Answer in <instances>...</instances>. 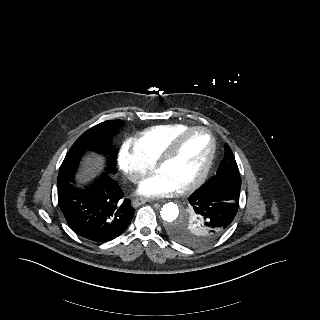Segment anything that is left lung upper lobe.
Returning a JSON list of instances; mask_svg holds the SVG:
<instances>
[{"instance_id":"left-lung-upper-lobe-1","label":"left lung upper lobe","mask_w":320,"mask_h":320,"mask_svg":"<svg viewBox=\"0 0 320 320\" xmlns=\"http://www.w3.org/2000/svg\"><path fill=\"white\" fill-rule=\"evenodd\" d=\"M224 158L216 175L206 183L207 187L223 186L240 192L241 177L235 157L229 145H224ZM207 226L201 216L190 206L182 222L168 226L169 234L178 242L187 246H196L212 239L207 236Z\"/></svg>"}]
</instances>
